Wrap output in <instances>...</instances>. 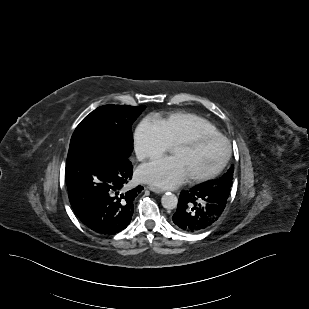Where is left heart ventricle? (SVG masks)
Returning a JSON list of instances; mask_svg holds the SVG:
<instances>
[{
  "mask_svg": "<svg viewBox=\"0 0 309 309\" xmlns=\"http://www.w3.org/2000/svg\"><path fill=\"white\" fill-rule=\"evenodd\" d=\"M177 157L188 177L200 176L214 170L224 154V145L219 140H205L194 146H177L171 151Z\"/></svg>",
  "mask_w": 309,
  "mask_h": 309,
  "instance_id": "1",
  "label": "left heart ventricle"
}]
</instances>
